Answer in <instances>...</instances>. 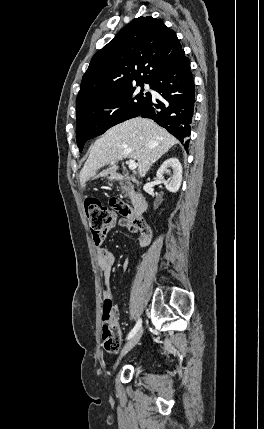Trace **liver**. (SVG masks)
Listing matches in <instances>:
<instances>
[{"label":"liver","mask_w":264,"mask_h":429,"mask_svg":"<svg viewBox=\"0 0 264 429\" xmlns=\"http://www.w3.org/2000/svg\"><path fill=\"white\" fill-rule=\"evenodd\" d=\"M178 140L150 119L136 117L110 128L90 150L80 172V183L115 174L117 162L123 158L137 160L138 174L144 177L150 166L163 156ZM106 165L109 168L97 174Z\"/></svg>","instance_id":"6515ba94"}]
</instances>
